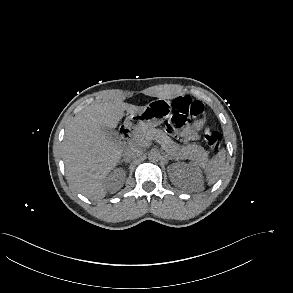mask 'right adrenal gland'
I'll list each match as a JSON object with an SVG mask.
<instances>
[{
	"label": "right adrenal gland",
	"mask_w": 293,
	"mask_h": 293,
	"mask_svg": "<svg viewBox=\"0 0 293 293\" xmlns=\"http://www.w3.org/2000/svg\"><path fill=\"white\" fill-rule=\"evenodd\" d=\"M123 162H125L126 164H128V163H130V160L122 159V160L120 161V164H122Z\"/></svg>",
	"instance_id": "obj_1"
}]
</instances>
